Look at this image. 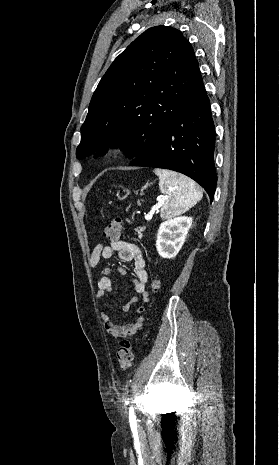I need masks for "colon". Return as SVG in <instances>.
<instances>
[{"label":"colon","instance_id":"colon-1","mask_svg":"<svg viewBox=\"0 0 279 465\" xmlns=\"http://www.w3.org/2000/svg\"><path fill=\"white\" fill-rule=\"evenodd\" d=\"M123 222L120 217H114L103 231V235L108 240H118L122 234ZM159 287L157 280L152 282V289L155 291ZM117 361L121 368L128 369L134 362L132 345L129 341H123L117 351Z\"/></svg>","mask_w":279,"mask_h":465}]
</instances>
